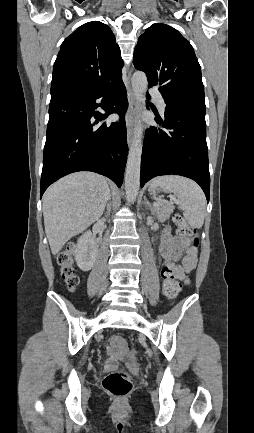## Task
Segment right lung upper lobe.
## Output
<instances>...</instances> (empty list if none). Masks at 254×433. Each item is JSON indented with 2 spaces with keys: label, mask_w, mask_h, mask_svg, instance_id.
Masks as SVG:
<instances>
[{
  "label": "right lung upper lobe",
  "mask_w": 254,
  "mask_h": 433,
  "mask_svg": "<svg viewBox=\"0 0 254 433\" xmlns=\"http://www.w3.org/2000/svg\"><path fill=\"white\" fill-rule=\"evenodd\" d=\"M123 60L111 29L88 22L68 36L53 67L51 94L64 90H93L122 80Z\"/></svg>",
  "instance_id": "obj_1"
}]
</instances>
